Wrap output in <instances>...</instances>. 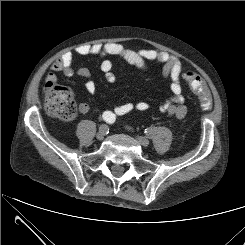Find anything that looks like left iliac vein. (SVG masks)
Wrapping results in <instances>:
<instances>
[{"mask_svg":"<svg viewBox=\"0 0 245 245\" xmlns=\"http://www.w3.org/2000/svg\"><path fill=\"white\" fill-rule=\"evenodd\" d=\"M138 141L140 142V144L144 147L149 146L150 141L148 140V138L144 137V136H138L137 137Z\"/></svg>","mask_w":245,"mask_h":245,"instance_id":"obj_1","label":"left iliac vein"}]
</instances>
